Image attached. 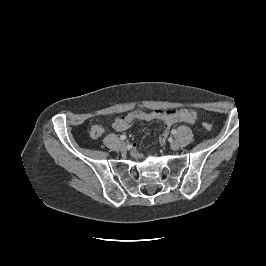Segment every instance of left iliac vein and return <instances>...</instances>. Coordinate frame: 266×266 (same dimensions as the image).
I'll return each instance as SVG.
<instances>
[{"instance_id": "obj_1", "label": "left iliac vein", "mask_w": 266, "mask_h": 266, "mask_svg": "<svg viewBox=\"0 0 266 266\" xmlns=\"http://www.w3.org/2000/svg\"><path fill=\"white\" fill-rule=\"evenodd\" d=\"M171 148L172 150H178L179 149V144L177 141H172L171 142Z\"/></svg>"}]
</instances>
